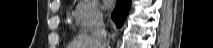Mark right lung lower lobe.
<instances>
[{
    "label": "right lung lower lobe",
    "mask_w": 213,
    "mask_h": 48,
    "mask_svg": "<svg viewBox=\"0 0 213 48\" xmlns=\"http://www.w3.org/2000/svg\"><path fill=\"white\" fill-rule=\"evenodd\" d=\"M130 4L131 0H117L116 8L112 13V19L116 23L117 27L122 26L129 11Z\"/></svg>",
    "instance_id": "98d812e1"
}]
</instances>
